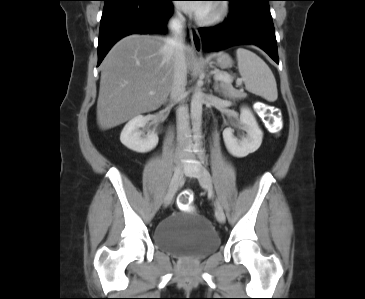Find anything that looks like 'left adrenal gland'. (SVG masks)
<instances>
[{
  "label": "left adrenal gland",
  "mask_w": 365,
  "mask_h": 299,
  "mask_svg": "<svg viewBox=\"0 0 365 299\" xmlns=\"http://www.w3.org/2000/svg\"><path fill=\"white\" fill-rule=\"evenodd\" d=\"M214 91L219 94H221V92H222V88L219 86L218 81H215V83H214Z\"/></svg>",
  "instance_id": "1"
}]
</instances>
